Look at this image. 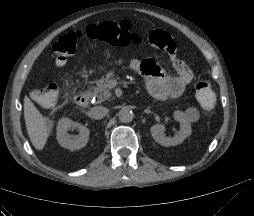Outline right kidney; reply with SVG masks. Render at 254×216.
I'll list each match as a JSON object with an SVG mask.
<instances>
[{"label": "right kidney", "mask_w": 254, "mask_h": 216, "mask_svg": "<svg viewBox=\"0 0 254 216\" xmlns=\"http://www.w3.org/2000/svg\"><path fill=\"white\" fill-rule=\"evenodd\" d=\"M78 129L79 134L71 136L68 131ZM89 129L77 122H73L68 118H62L57 125V140L60 146L69 150H78L84 147L89 140Z\"/></svg>", "instance_id": "right-kidney-1"}]
</instances>
